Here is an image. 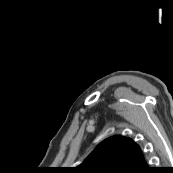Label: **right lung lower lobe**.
Wrapping results in <instances>:
<instances>
[{"mask_svg": "<svg viewBox=\"0 0 173 173\" xmlns=\"http://www.w3.org/2000/svg\"><path fill=\"white\" fill-rule=\"evenodd\" d=\"M154 172L152 168L147 166L145 160H142L138 164L134 165L129 171L126 173H152Z\"/></svg>", "mask_w": 173, "mask_h": 173, "instance_id": "1", "label": "right lung lower lobe"}]
</instances>
